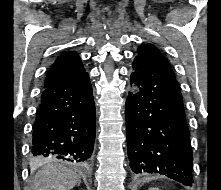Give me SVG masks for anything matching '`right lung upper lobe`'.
Returning <instances> with one entry per match:
<instances>
[{"label":"right lung upper lobe","mask_w":221,"mask_h":190,"mask_svg":"<svg viewBox=\"0 0 221 190\" xmlns=\"http://www.w3.org/2000/svg\"><path fill=\"white\" fill-rule=\"evenodd\" d=\"M85 72L80 57L75 51L64 52L47 73L44 89Z\"/></svg>","instance_id":"right-lung-upper-lobe-1"}]
</instances>
